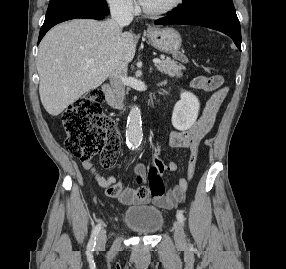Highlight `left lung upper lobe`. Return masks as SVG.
<instances>
[{
	"mask_svg": "<svg viewBox=\"0 0 286 269\" xmlns=\"http://www.w3.org/2000/svg\"><path fill=\"white\" fill-rule=\"evenodd\" d=\"M209 7H234L232 0H183L181 7H176L174 10L179 12H189L201 8ZM172 10V11H174Z\"/></svg>",
	"mask_w": 286,
	"mask_h": 269,
	"instance_id": "1",
	"label": "left lung upper lobe"
}]
</instances>
